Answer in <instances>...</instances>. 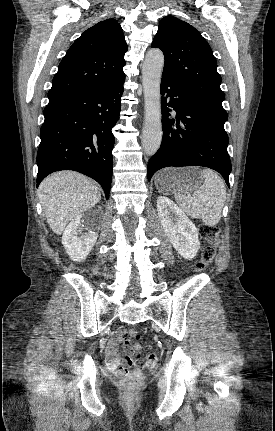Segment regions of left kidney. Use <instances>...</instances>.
I'll return each mask as SVG.
<instances>
[{
  "mask_svg": "<svg viewBox=\"0 0 275 431\" xmlns=\"http://www.w3.org/2000/svg\"><path fill=\"white\" fill-rule=\"evenodd\" d=\"M160 222L175 250L185 259H192L200 249L198 230L185 213L169 198L158 197Z\"/></svg>",
  "mask_w": 275,
  "mask_h": 431,
  "instance_id": "1",
  "label": "left kidney"
}]
</instances>
